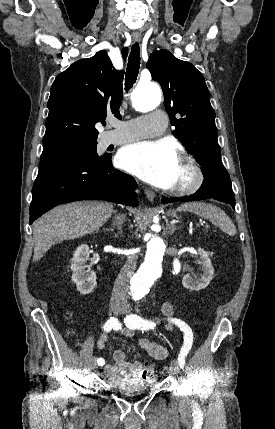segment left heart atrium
I'll return each mask as SVG.
<instances>
[{
  "instance_id": "39dd6f15",
  "label": "left heart atrium",
  "mask_w": 275,
  "mask_h": 429,
  "mask_svg": "<svg viewBox=\"0 0 275 429\" xmlns=\"http://www.w3.org/2000/svg\"><path fill=\"white\" fill-rule=\"evenodd\" d=\"M124 170L161 188L173 187L179 160L166 141H140L122 148L117 157Z\"/></svg>"
}]
</instances>
